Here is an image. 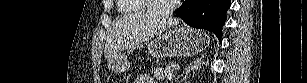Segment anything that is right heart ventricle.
Listing matches in <instances>:
<instances>
[{"instance_id": "e07e8e85", "label": "right heart ventricle", "mask_w": 307, "mask_h": 83, "mask_svg": "<svg viewBox=\"0 0 307 83\" xmlns=\"http://www.w3.org/2000/svg\"><path fill=\"white\" fill-rule=\"evenodd\" d=\"M118 10L122 14L141 13L148 10L144 1L141 0H119Z\"/></svg>"}]
</instances>
